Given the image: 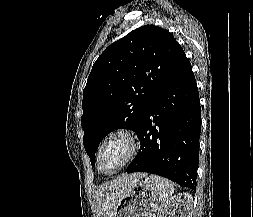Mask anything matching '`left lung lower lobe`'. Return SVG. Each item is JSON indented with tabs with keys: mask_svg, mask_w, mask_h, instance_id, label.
<instances>
[{
	"mask_svg": "<svg viewBox=\"0 0 253 217\" xmlns=\"http://www.w3.org/2000/svg\"><path fill=\"white\" fill-rule=\"evenodd\" d=\"M201 108L191 63L185 57L151 100L138 123L140 150L127 172H148L196 190Z\"/></svg>",
	"mask_w": 253,
	"mask_h": 217,
	"instance_id": "left-lung-lower-lobe-1",
	"label": "left lung lower lobe"
}]
</instances>
